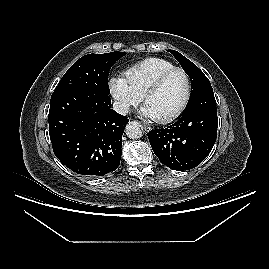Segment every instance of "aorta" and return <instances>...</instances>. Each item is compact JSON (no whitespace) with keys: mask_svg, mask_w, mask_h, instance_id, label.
Masks as SVG:
<instances>
[{"mask_svg":"<svg viewBox=\"0 0 269 269\" xmlns=\"http://www.w3.org/2000/svg\"><path fill=\"white\" fill-rule=\"evenodd\" d=\"M125 132L130 139H138L143 136L144 128L139 122L132 121L126 125Z\"/></svg>","mask_w":269,"mask_h":269,"instance_id":"aorta-1","label":"aorta"}]
</instances>
